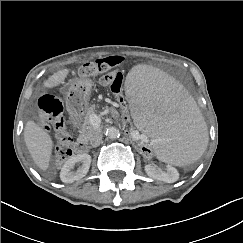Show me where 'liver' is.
Masks as SVG:
<instances>
[{"instance_id": "6515ba94", "label": "liver", "mask_w": 243, "mask_h": 243, "mask_svg": "<svg viewBox=\"0 0 243 243\" xmlns=\"http://www.w3.org/2000/svg\"><path fill=\"white\" fill-rule=\"evenodd\" d=\"M70 69H63L52 76L45 82V88H53L64 82L69 74ZM25 144L35 164L43 171L49 167V162L53 149L51 136L37 123L28 120L24 128Z\"/></svg>"}]
</instances>
